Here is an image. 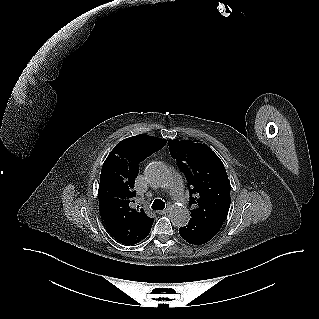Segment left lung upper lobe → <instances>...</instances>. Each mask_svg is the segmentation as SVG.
I'll return each mask as SVG.
<instances>
[{"mask_svg": "<svg viewBox=\"0 0 319 319\" xmlns=\"http://www.w3.org/2000/svg\"><path fill=\"white\" fill-rule=\"evenodd\" d=\"M171 156L185 174L192 218L224 222L230 207V182L220 158L205 144L170 140Z\"/></svg>", "mask_w": 319, "mask_h": 319, "instance_id": "1", "label": "left lung upper lobe"}]
</instances>
